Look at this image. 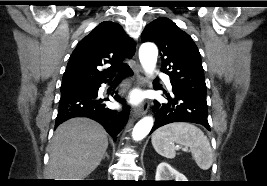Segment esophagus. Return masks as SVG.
Instances as JSON below:
<instances>
[{"instance_id": "obj_1", "label": "esophagus", "mask_w": 267, "mask_h": 186, "mask_svg": "<svg viewBox=\"0 0 267 186\" xmlns=\"http://www.w3.org/2000/svg\"><path fill=\"white\" fill-rule=\"evenodd\" d=\"M135 75H136L137 86L144 87L148 82V76L146 75V73L143 71V69L140 66H137ZM148 109H149V102L144 101L138 107H135L133 109L132 115L133 116L145 115Z\"/></svg>"}]
</instances>
